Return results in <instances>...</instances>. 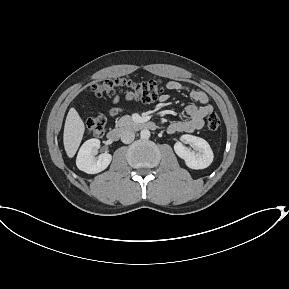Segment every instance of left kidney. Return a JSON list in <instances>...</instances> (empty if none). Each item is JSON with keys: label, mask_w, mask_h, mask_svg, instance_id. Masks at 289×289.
<instances>
[{"label": "left kidney", "mask_w": 289, "mask_h": 289, "mask_svg": "<svg viewBox=\"0 0 289 289\" xmlns=\"http://www.w3.org/2000/svg\"><path fill=\"white\" fill-rule=\"evenodd\" d=\"M181 141L189 143L193 150L186 148L180 141L174 145L176 154L185 161L191 169L207 168L213 161V152L208 142L193 135H183Z\"/></svg>", "instance_id": "left-kidney-1"}]
</instances>
